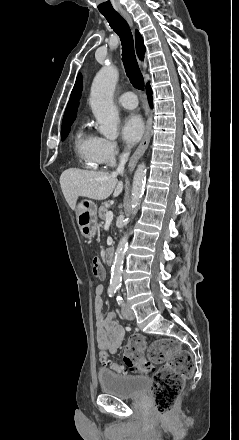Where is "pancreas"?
<instances>
[{"mask_svg":"<svg viewBox=\"0 0 239 440\" xmlns=\"http://www.w3.org/2000/svg\"><path fill=\"white\" fill-rule=\"evenodd\" d=\"M108 204L107 202H105V206H100L99 210H98V216L100 218V220H105L106 218V212H108Z\"/></svg>","mask_w":239,"mask_h":440,"instance_id":"obj_1","label":"pancreas"}]
</instances>
